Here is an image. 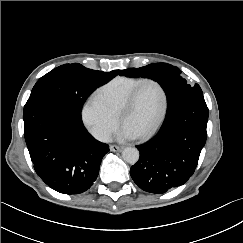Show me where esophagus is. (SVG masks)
<instances>
[{"label":"esophagus","mask_w":243,"mask_h":243,"mask_svg":"<svg viewBox=\"0 0 243 243\" xmlns=\"http://www.w3.org/2000/svg\"><path fill=\"white\" fill-rule=\"evenodd\" d=\"M122 149H123V147H121V146H117V145L110 146V150L113 152L121 151Z\"/></svg>","instance_id":"obj_1"}]
</instances>
